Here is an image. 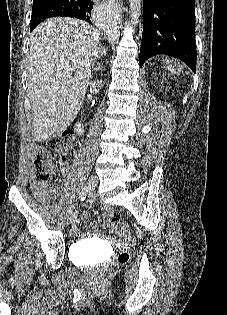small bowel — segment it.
<instances>
[{"label": "small bowel", "instance_id": "small-bowel-1", "mask_svg": "<svg viewBox=\"0 0 227 315\" xmlns=\"http://www.w3.org/2000/svg\"><path fill=\"white\" fill-rule=\"evenodd\" d=\"M59 171L64 177H69L71 175V164L69 160L61 159L59 161ZM33 192L37 199L41 202H46L50 199V193L58 194L57 189L54 187H47V188H36L33 186ZM109 212V210L107 211ZM90 216L86 211H83L81 214L82 220H89ZM78 228V223H74L71 227V231L75 233Z\"/></svg>", "mask_w": 227, "mask_h": 315}]
</instances>
